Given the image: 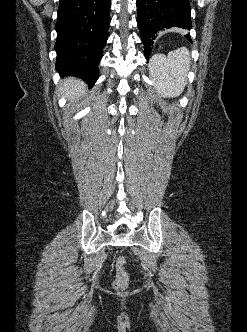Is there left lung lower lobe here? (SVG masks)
I'll return each mask as SVG.
<instances>
[{"mask_svg": "<svg viewBox=\"0 0 247 332\" xmlns=\"http://www.w3.org/2000/svg\"><path fill=\"white\" fill-rule=\"evenodd\" d=\"M138 24L145 56L152 51L154 40L165 28L191 29L189 0H137ZM186 38L191 41L190 35Z\"/></svg>", "mask_w": 247, "mask_h": 332, "instance_id": "0a47b994", "label": "left lung lower lobe"}]
</instances>
